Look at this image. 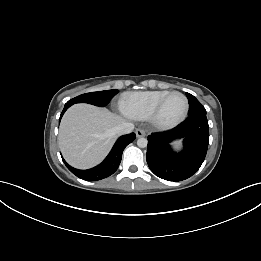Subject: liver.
<instances>
[{
  "instance_id": "liver-1",
  "label": "liver",
  "mask_w": 261,
  "mask_h": 261,
  "mask_svg": "<svg viewBox=\"0 0 261 261\" xmlns=\"http://www.w3.org/2000/svg\"><path fill=\"white\" fill-rule=\"evenodd\" d=\"M124 120L105 108L75 104L64 114L59 145L65 160L73 167L88 169L100 163L113 146L114 128Z\"/></svg>"
}]
</instances>
